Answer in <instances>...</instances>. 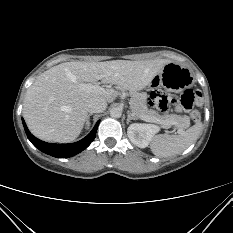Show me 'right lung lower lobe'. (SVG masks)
Returning <instances> with one entry per match:
<instances>
[{
  "mask_svg": "<svg viewBox=\"0 0 233 233\" xmlns=\"http://www.w3.org/2000/svg\"><path fill=\"white\" fill-rule=\"evenodd\" d=\"M22 122L28 139L40 151L57 158H68L80 153L90 145L96 136V131L100 121L96 123L93 130L85 138L70 144H53L41 141L30 134V131L28 130L23 118Z\"/></svg>",
  "mask_w": 233,
  "mask_h": 233,
  "instance_id": "right-lung-lower-lobe-1",
  "label": "right lung lower lobe"
}]
</instances>
